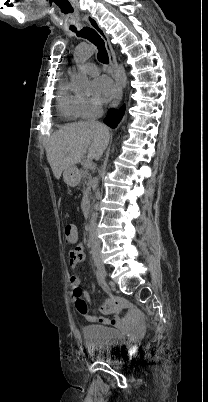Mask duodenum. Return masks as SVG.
I'll use <instances>...</instances> for the list:
<instances>
[{"mask_svg":"<svg viewBox=\"0 0 208 402\" xmlns=\"http://www.w3.org/2000/svg\"><path fill=\"white\" fill-rule=\"evenodd\" d=\"M82 210L85 214H88L90 211V201L88 198H84L82 202Z\"/></svg>","mask_w":208,"mask_h":402,"instance_id":"410a0bca","label":"duodenum"}]
</instances>
